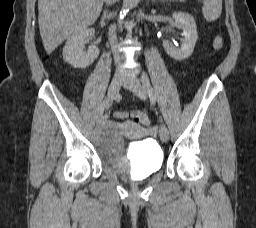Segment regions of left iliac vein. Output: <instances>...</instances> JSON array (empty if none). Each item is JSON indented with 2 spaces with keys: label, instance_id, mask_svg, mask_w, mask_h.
<instances>
[{
  "label": "left iliac vein",
  "instance_id": "left-iliac-vein-1",
  "mask_svg": "<svg viewBox=\"0 0 256 228\" xmlns=\"http://www.w3.org/2000/svg\"><path fill=\"white\" fill-rule=\"evenodd\" d=\"M124 87L132 91L137 97L145 100L147 98V92L139 79L135 76H129L124 79ZM159 137L163 142L169 141V131L165 124H161L159 128Z\"/></svg>",
  "mask_w": 256,
  "mask_h": 228
}]
</instances>
